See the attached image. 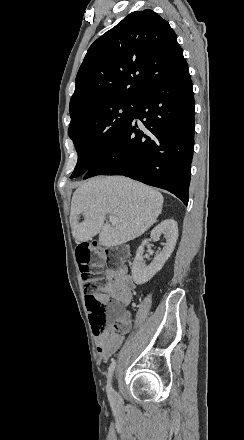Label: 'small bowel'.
I'll return each mask as SVG.
<instances>
[{
	"label": "small bowel",
	"mask_w": 244,
	"mask_h": 440,
	"mask_svg": "<svg viewBox=\"0 0 244 440\" xmlns=\"http://www.w3.org/2000/svg\"><path fill=\"white\" fill-rule=\"evenodd\" d=\"M103 277L105 283L100 286L96 293L91 296L86 295L85 300L90 299V297L97 300H118V303L123 307L132 303L135 283L127 266L118 269H106L103 271ZM123 342L124 338H114V335H110L108 327L105 333L95 338L98 358L102 362H107L119 350Z\"/></svg>",
	"instance_id": "obj_1"
}]
</instances>
